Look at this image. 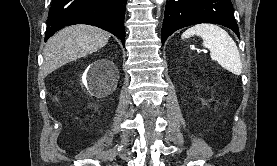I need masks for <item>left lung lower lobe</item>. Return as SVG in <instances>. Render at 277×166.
Masks as SVG:
<instances>
[{"label": "left lung lower lobe", "mask_w": 277, "mask_h": 166, "mask_svg": "<svg viewBox=\"0 0 277 166\" xmlns=\"http://www.w3.org/2000/svg\"><path fill=\"white\" fill-rule=\"evenodd\" d=\"M200 23L226 26L239 37L230 0H168L161 32L162 45L175 31Z\"/></svg>", "instance_id": "1"}]
</instances>
